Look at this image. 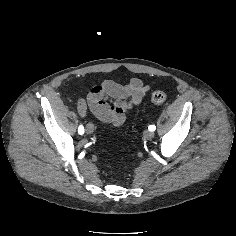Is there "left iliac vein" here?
<instances>
[{"instance_id":"obj_1","label":"left iliac vein","mask_w":236,"mask_h":236,"mask_svg":"<svg viewBox=\"0 0 236 236\" xmlns=\"http://www.w3.org/2000/svg\"><path fill=\"white\" fill-rule=\"evenodd\" d=\"M143 135H144V138H146L147 140H151L154 137V133L149 130L144 131Z\"/></svg>"}]
</instances>
